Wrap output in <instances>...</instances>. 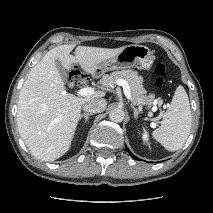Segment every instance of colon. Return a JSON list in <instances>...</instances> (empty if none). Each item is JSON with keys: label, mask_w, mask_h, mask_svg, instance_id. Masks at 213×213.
Segmentation results:
<instances>
[{"label": "colon", "mask_w": 213, "mask_h": 213, "mask_svg": "<svg viewBox=\"0 0 213 213\" xmlns=\"http://www.w3.org/2000/svg\"><path fill=\"white\" fill-rule=\"evenodd\" d=\"M154 71L156 74V79H155L156 85L159 87L163 86L165 82L164 77L166 74V66L162 63H159L155 66ZM86 80H87V76L78 70L73 71L70 74V81L73 86L82 85L86 82Z\"/></svg>", "instance_id": "colon-1"}]
</instances>
